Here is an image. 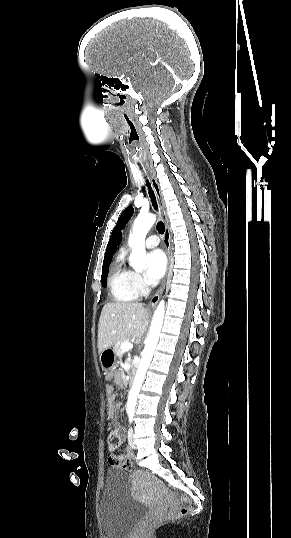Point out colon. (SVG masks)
Listing matches in <instances>:
<instances>
[{
	"label": "colon",
	"mask_w": 291,
	"mask_h": 538,
	"mask_svg": "<svg viewBox=\"0 0 291 538\" xmlns=\"http://www.w3.org/2000/svg\"><path fill=\"white\" fill-rule=\"evenodd\" d=\"M123 441V433L122 430L115 424H110L107 429V442L108 447L111 450H114L120 446V444ZM112 463H114L116 466H121L123 469L130 471L133 468V464L129 459L126 460H113ZM190 511V507L185 504L181 506L174 514V518L179 519L187 515ZM158 521H153L151 523V527H154L157 525Z\"/></svg>",
	"instance_id": "5ec220e1"
}]
</instances>
